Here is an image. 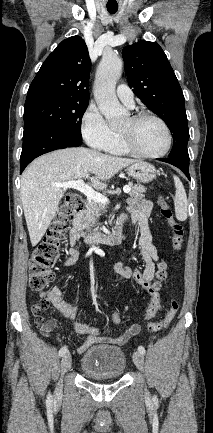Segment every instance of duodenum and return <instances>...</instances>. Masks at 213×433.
<instances>
[{
    "label": "duodenum",
    "instance_id": "410a0bca",
    "mask_svg": "<svg viewBox=\"0 0 213 433\" xmlns=\"http://www.w3.org/2000/svg\"><path fill=\"white\" fill-rule=\"evenodd\" d=\"M86 202H84L83 208L77 213L74 218V228L78 231L80 236H82L84 242L89 245L94 244H107L116 245L119 244L124 238V231L121 227L117 228L114 232L109 235L102 236L97 233L85 234L82 232L80 213L83 211Z\"/></svg>",
    "mask_w": 213,
    "mask_h": 433
}]
</instances>
